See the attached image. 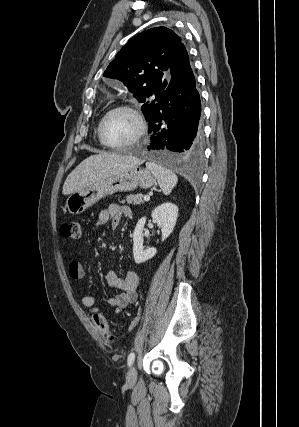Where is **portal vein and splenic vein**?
<instances>
[{"mask_svg":"<svg viewBox=\"0 0 299 427\" xmlns=\"http://www.w3.org/2000/svg\"><path fill=\"white\" fill-rule=\"evenodd\" d=\"M144 200L145 201H149L150 200V196H148V195L144 196Z\"/></svg>","mask_w":299,"mask_h":427,"instance_id":"18ae733b","label":"portal vein and splenic vein"}]
</instances>
